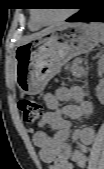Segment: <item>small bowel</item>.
Here are the masks:
<instances>
[{"label": "small bowel", "mask_w": 104, "mask_h": 169, "mask_svg": "<svg viewBox=\"0 0 104 169\" xmlns=\"http://www.w3.org/2000/svg\"><path fill=\"white\" fill-rule=\"evenodd\" d=\"M43 101L46 111L39 123L43 129L55 131L50 136L45 130L33 134V142L39 148L40 157L49 169H73V165L84 167L87 163V146L95 137L90 126L71 129V120H87L93 114L92 104L85 99L80 87H60L53 93H46ZM67 104L61 106L62 103ZM71 139L78 147L72 149L67 142Z\"/></svg>", "instance_id": "small-bowel-1"}]
</instances>
